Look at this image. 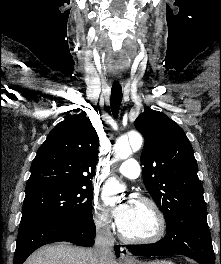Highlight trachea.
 Instances as JSON below:
<instances>
[{
	"label": "trachea",
	"mask_w": 221,
	"mask_h": 264,
	"mask_svg": "<svg viewBox=\"0 0 221 264\" xmlns=\"http://www.w3.org/2000/svg\"><path fill=\"white\" fill-rule=\"evenodd\" d=\"M122 88L120 85H113L111 88V110L115 117L118 116L122 102Z\"/></svg>",
	"instance_id": "3493384b"
}]
</instances>
